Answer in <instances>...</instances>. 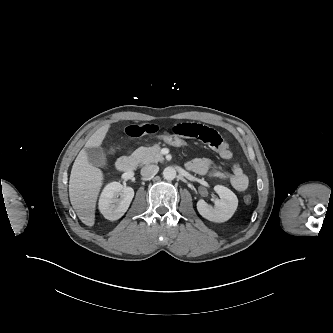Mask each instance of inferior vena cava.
Instances as JSON below:
<instances>
[{"mask_svg":"<svg viewBox=\"0 0 333 333\" xmlns=\"http://www.w3.org/2000/svg\"><path fill=\"white\" fill-rule=\"evenodd\" d=\"M159 171V167L157 165H146L141 169V175L143 177H153Z\"/></svg>","mask_w":333,"mask_h":333,"instance_id":"1","label":"inferior vena cava"}]
</instances>
